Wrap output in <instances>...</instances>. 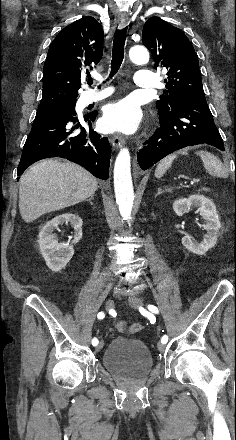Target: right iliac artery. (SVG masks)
Wrapping results in <instances>:
<instances>
[{"mask_svg": "<svg viewBox=\"0 0 236 440\" xmlns=\"http://www.w3.org/2000/svg\"><path fill=\"white\" fill-rule=\"evenodd\" d=\"M98 319H103L105 317V314L103 312H99L97 315ZM98 344V339L94 338L92 340V345L96 346Z\"/></svg>", "mask_w": 236, "mask_h": 440, "instance_id": "1", "label": "right iliac artery"}]
</instances>
